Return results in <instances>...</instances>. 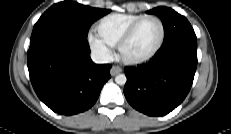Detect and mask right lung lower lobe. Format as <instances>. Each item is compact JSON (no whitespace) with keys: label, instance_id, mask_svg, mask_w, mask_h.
<instances>
[{"label":"right lung lower lobe","instance_id":"1","mask_svg":"<svg viewBox=\"0 0 231 134\" xmlns=\"http://www.w3.org/2000/svg\"><path fill=\"white\" fill-rule=\"evenodd\" d=\"M86 38L58 27L31 36L28 70L32 86L44 104L63 115L94 105L111 77L110 65L92 62Z\"/></svg>","mask_w":231,"mask_h":134}]
</instances>
